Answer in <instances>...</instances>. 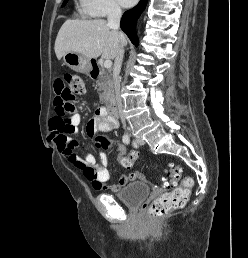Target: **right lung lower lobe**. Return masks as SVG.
Segmentation results:
<instances>
[{"mask_svg":"<svg viewBox=\"0 0 248 258\" xmlns=\"http://www.w3.org/2000/svg\"><path fill=\"white\" fill-rule=\"evenodd\" d=\"M148 0H140L137 6L126 11L121 19V29L128 35L134 45H138V39L135 32V24L137 18L145 9Z\"/></svg>","mask_w":248,"mask_h":258,"instance_id":"right-lung-lower-lobe-1","label":"right lung lower lobe"}]
</instances>
